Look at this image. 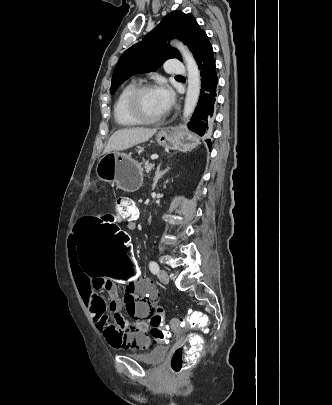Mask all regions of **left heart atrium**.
I'll list each match as a JSON object with an SVG mask.
<instances>
[{
	"mask_svg": "<svg viewBox=\"0 0 332 405\" xmlns=\"http://www.w3.org/2000/svg\"><path fill=\"white\" fill-rule=\"evenodd\" d=\"M157 92L164 108L168 110L174 102V93L172 89L168 85L162 84L157 88Z\"/></svg>",
	"mask_w": 332,
	"mask_h": 405,
	"instance_id": "39dd6f15",
	"label": "left heart atrium"
}]
</instances>
